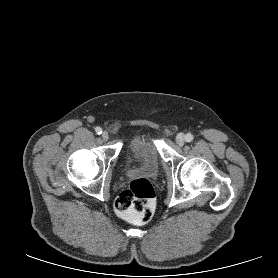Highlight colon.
<instances>
[{"label": "colon", "mask_w": 278, "mask_h": 278, "mask_svg": "<svg viewBox=\"0 0 278 278\" xmlns=\"http://www.w3.org/2000/svg\"><path fill=\"white\" fill-rule=\"evenodd\" d=\"M114 206L117 214L126 220L137 224L149 221L155 208V192L149 180L133 179L118 195Z\"/></svg>", "instance_id": "5ec220e1"}]
</instances>
